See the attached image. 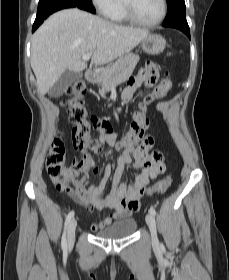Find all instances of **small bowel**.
<instances>
[{"label":"small bowel","instance_id":"1","mask_svg":"<svg viewBox=\"0 0 229 280\" xmlns=\"http://www.w3.org/2000/svg\"><path fill=\"white\" fill-rule=\"evenodd\" d=\"M158 78L159 69L157 66H145L134 77L128 80L127 86L122 94L123 100L125 102L132 101L143 85H153L157 82ZM166 83L171 84L170 80H166ZM165 94L166 91L163 90L162 85L157 86L140 104V112L145 115L148 104L156 99L164 97ZM98 140L101 143L114 145L116 137L108 131L100 129L98 130ZM153 143L154 138L149 135L136 147H127L125 149L124 153L119 156L117 167L112 176V190L108 195H105L104 187L111 177V168L109 165L99 167L90 153L86 154L81 160L74 161L73 166L67 170V178L76 186L75 192H67L68 196L73 201L84 206L89 211L93 209L110 210L103 216L100 222L92 226L94 232L105 229L112 224L115 219L131 216L139 209L132 206L131 201L139 199V191L144 188L151 179L156 177V173L143 168L144 159L148 156ZM128 163H131L135 170H141L135 175L130 185H127L125 182H119L124 166ZM90 170L100 174V182L98 185L85 187L84 183L88 178Z\"/></svg>","mask_w":229,"mask_h":280}]
</instances>
